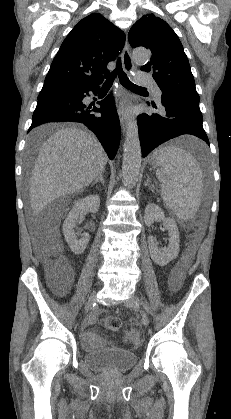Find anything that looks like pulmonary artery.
Here are the masks:
<instances>
[{
    "instance_id": "obj_1",
    "label": "pulmonary artery",
    "mask_w": 231,
    "mask_h": 419,
    "mask_svg": "<svg viewBox=\"0 0 231 419\" xmlns=\"http://www.w3.org/2000/svg\"><path fill=\"white\" fill-rule=\"evenodd\" d=\"M136 81L140 85L147 86V87L151 88L153 93H154L155 98L158 101L161 100L162 91L159 88V86L157 85V83L151 77H149L147 75L139 74V75L136 76Z\"/></svg>"
}]
</instances>
